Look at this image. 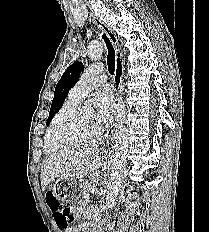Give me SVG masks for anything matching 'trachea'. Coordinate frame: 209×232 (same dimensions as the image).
Segmentation results:
<instances>
[{"label": "trachea", "mask_w": 209, "mask_h": 232, "mask_svg": "<svg viewBox=\"0 0 209 232\" xmlns=\"http://www.w3.org/2000/svg\"><path fill=\"white\" fill-rule=\"evenodd\" d=\"M102 38L104 39V42L108 50V55H107L108 71L111 75H113L115 72V49L106 34H103Z\"/></svg>", "instance_id": "1"}]
</instances>
